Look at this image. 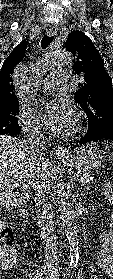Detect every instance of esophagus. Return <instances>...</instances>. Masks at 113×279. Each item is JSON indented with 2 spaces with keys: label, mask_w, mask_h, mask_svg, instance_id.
<instances>
[{
  "label": "esophagus",
  "mask_w": 113,
  "mask_h": 279,
  "mask_svg": "<svg viewBox=\"0 0 113 279\" xmlns=\"http://www.w3.org/2000/svg\"><path fill=\"white\" fill-rule=\"evenodd\" d=\"M56 33H57V27L56 26H50L47 29V34L49 36H54V35H56ZM56 154L60 157L61 156H66V155H68V149L61 146L56 150Z\"/></svg>",
  "instance_id": "esophagus-1"
}]
</instances>
